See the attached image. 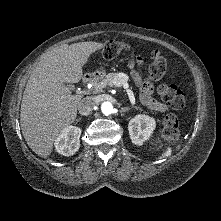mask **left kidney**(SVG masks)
I'll return each instance as SVG.
<instances>
[{"mask_svg":"<svg viewBox=\"0 0 221 221\" xmlns=\"http://www.w3.org/2000/svg\"><path fill=\"white\" fill-rule=\"evenodd\" d=\"M156 127L154 118L147 115H137L129 121L128 130L135 145H143Z\"/></svg>","mask_w":221,"mask_h":221,"instance_id":"obj_1","label":"left kidney"}]
</instances>
